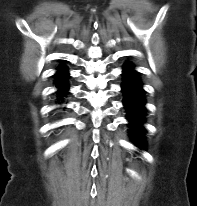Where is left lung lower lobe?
<instances>
[{
  "label": "left lung lower lobe",
  "mask_w": 197,
  "mask_h": 206,
  "mask_svg": "<svg viewBox=\"0 0 197 206\" xmlns=\"http://www.w3.org/2000/svg\"><path fill=\"white\" fill-rule=\"evenodd\" d=\"M134 65L127 63L123 67V83L121 85L124 94L123 104L127 111V119L129 127L132 129L131 137L137 145H143V127L145 115L144 99L145 91L142 88V83L139 79V73L134 70Z\"/></svg>",
  "instance_id": "0a47b994"
}]
</instances>
